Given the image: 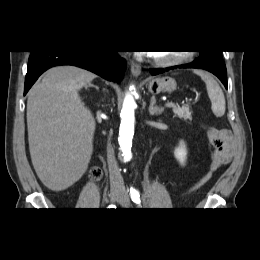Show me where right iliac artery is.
I'll use <instances>...</instances> for the list:
<instances>
[{
    "label": "right iliac artery",
    "instance_id": "right-iliac-artery-1",
    "mask_svg": "<svg viewBox=\"0 0 260 260\" xmlns=\"http://www.w3.org/2000/svg\"><path fill=\"white\" fill-rule=\"evenodd\" d=\"M109 208H115V205H110Z\"/></svg>",
    "mask_w": 260,
    "mask_h": 260
}]
</instances>
